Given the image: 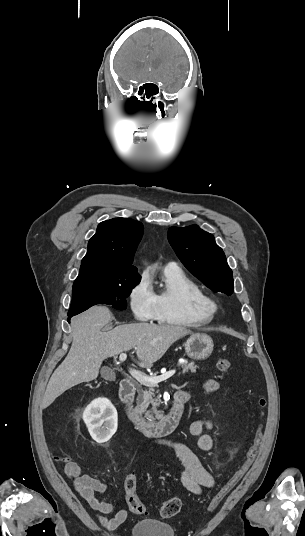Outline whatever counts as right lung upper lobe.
<instances>
[{
  "mask_svg": "<svg viewBox=\"0 0 305 536\" xmlns=\"http://www.w3.org/2000/svg\"><path fill=\"white\" fill-rule=\"evenodd\" d=\"M142 234V223L130 218L101 222L96 234L89 240L78 277L140 276L132 262Z\"/></svg>",
  "mask_w": 305,
  "mask_h": 536,
  "instance_id": "right-lung-upper-lobe-1",
  "label": "right lung upper lobe"
}]
</instances>
